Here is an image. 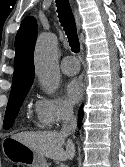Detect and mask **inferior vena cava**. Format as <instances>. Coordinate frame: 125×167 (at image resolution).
Instances as JSON below:
<instances>
[{"label":"inferior vena cava","instance_id":"1","mask_svg":"<svg viewBox=\"0 0 125 167\" xmlns=\"http://www.w3.org/2000/svg\"><path fill=\"white\" fill-rule=\"evenodd\" d=\"M62 120L63 125L60 133L65 136L73 134L77 127V119L74 116L73 110L64 108L62 111Z\"/></svg>","mask_w":125,"mask_h":167}]
</instances>
